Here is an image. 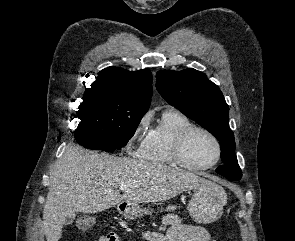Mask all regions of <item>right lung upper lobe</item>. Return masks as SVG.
<instances>
[{"label": "right lung upper lobe", "mask_w": 295, "mask_h": 241, "mask_svg": "<svg viewBox=\"0 0 295 241\" xmlns=\"http://www.w3.org/2000/svg\"><path fill=\"white\" fill-rule=\"evenodd\" d=\"M152 74L148 69L128 71L120 67L101 70L85 94L100 92L148 110L152 97Z\"/></svg>", "instance_id": "obj_1"}]
</instances>
